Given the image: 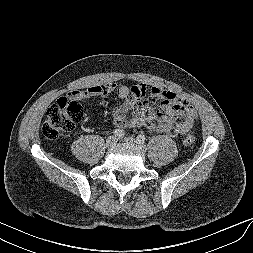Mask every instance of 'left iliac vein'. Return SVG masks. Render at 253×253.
Segmentation results:
<instances>
[{
	"label": "left iliac vein",
	"mask_w": 253,
	"mask_h": 253,
	"mask_svg": "<svg viewBox=\"0 0 253 253\" xmlns=\"http://www.w3.org/2000/svg\"><path fill=\"white\" fill-rule=\"evenodd\" d=\"M125 142L130 144V145H134L136 147H138L141 151L145 150V147L143 144L139 143L136 139H134L133 137H126Z\"/></svg>",
	"instance_id": "obj_1"
}]
</instances>
